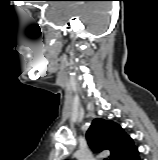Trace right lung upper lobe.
<instances>
[{"label": "right lung upper lobe", "instance_id": "cb5924a9", "mask_svg": "<svg viewBox=\"0 0 158 160\" xmlns=\"http://www.w3.org/2000/svg\"><path fill=\"white\" fill-rule=\"evenodd\" d=\"M86 137L94 152L110 151L105 160H122L134 148L131 137L110 120L94 119Z\"/></svg>", "mask_w": 158, "mask_h": 160}]
</instances>
